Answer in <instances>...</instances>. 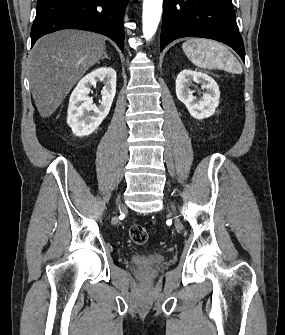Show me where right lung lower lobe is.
<instances>
[{"instance_id":"98d812e1","label":"right lung lower lobe","mask_w":285,"mask_h":335,"mask_svg":"<svg viewBox=\"0 0 285 335\" xmlns=\"http://www.w3.org/2000/svg\"><path fill=\"white\" fill-rule=\"evenodd\" d=\"M129 0H37L31 47L37 39L62 29L103 34L124 50L123 16Z\"/></svg>"}]
</instances>
